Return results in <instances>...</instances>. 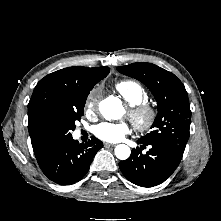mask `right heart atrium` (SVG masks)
Wrapping results in <instances>:
<instances>
[{
	"label": "right heart atrium",
	"mask_w": 221,
	"mask_h": 221,
	"mask_svg": "<svg viewBox=\"0 0 221 221\" xmlns=\"http://www.w3.org/2000/svg\"><path fill=\"white\" fill-rule=\"evenodd\" d=\"M97 103H98V90L93 89L92 91H90L85 101L84 105L85 114L93 115L95 113Z\"/></svg>",
	"instance_id": "right-heart-atrium-1"
}]
</instances>
